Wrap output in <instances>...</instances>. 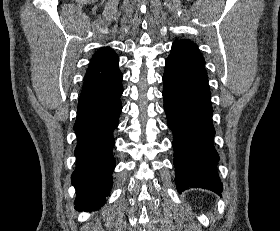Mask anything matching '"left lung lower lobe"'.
I'll list each match as a JSON object with an SVG mask.
<instances>
[{
	"mask_svg": "<svg viewBox=\"0 0 280 231\" xmlns=\"http://www.w3.org/2000/svg\"><path fill=\"white\" fill-rule=\"evenodd\" d=\"M163 83L164 110L174 137L178 192L200 187L221 195L207 74H177L165 65Z\"/></svg>",
	"mask_w": 280,
	"mask_h": 231,
	"instance_id": "0a47b994",
	"label": "left lung lower lobe"
}]
</instances>
